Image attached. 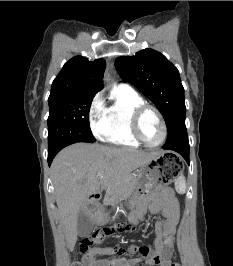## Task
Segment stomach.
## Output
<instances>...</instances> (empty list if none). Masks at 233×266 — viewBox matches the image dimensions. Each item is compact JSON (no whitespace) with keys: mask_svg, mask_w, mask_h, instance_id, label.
Returning <instances> with one entry per match:
<instances>
[{"mask_svg":"<svg viewBox=\"0 0 233 266\" xmlns=\"http://www.w3.org/2000/svg\"><path fill=\"white\" fill-rule=\"evenodd\" d=\"M168 166H184L180 152H157V156H153L146 165L140 167L137 171L138 186L134 197H139L140 192L148 193L158 185H177L180 172H184V167H168ZM98 223H105L107 217L101 211L95 215Z\"/></svg>","mask_w":233,"mask_h":266,"instance_id":"0dacf381","label":"stomach"}]
</instances>
